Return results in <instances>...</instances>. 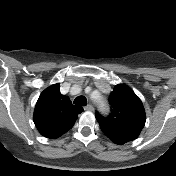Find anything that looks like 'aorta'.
Returning <instances> with one entry per match:
<instances>
[{"label": "aorta", "mask_w": 176, "mask_h": 176, "mask_svg": "<svg viewBox=\"0 0 176 176\" xmlns=\"http://www.w3.org/2000/svg\"><path fill=\"white\" fill-rule=\"evenodd\" d=\"M94 102L97 104V106L99 108H104L106 106L105 100H104V98L100 94H97L94 97Z\"/></svg>", "instance_id": "aorta-1"}]
</instances>
